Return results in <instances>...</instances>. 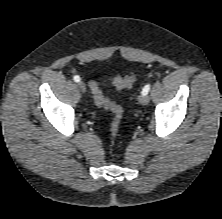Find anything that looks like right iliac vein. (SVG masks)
<instances>
[{
	"label": "right iliac vein",
	"mask_w": 222,
	"mask_h": 219,
	"mask_svg": "<svg viewBox=\"0 0 222 219\" xmlns=\"http://www.w3.org/2000/svg\"><path fill=\"white\" fill-rule=\"evenodd\" d=\"M77 86H78V88H79V90H80L81 92H83V93L86 92V85H85L84 82L79 81L78 84H77Z\"/></svg>",
	"instance_id": "1"
}]
</instances>
